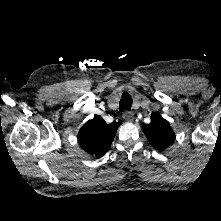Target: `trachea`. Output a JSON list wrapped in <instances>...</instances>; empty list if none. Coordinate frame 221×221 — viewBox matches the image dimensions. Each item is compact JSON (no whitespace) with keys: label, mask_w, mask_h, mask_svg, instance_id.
<instances>
[{"label":"trachea","mask_w":221,"mask_h":221,"mask_svg":"<svg viewBox=\"0 0 221 221\" xmlns=\"http://www.w3.org/2000/svg\"><path fill=\"white\" fill-rule=\"evenodd\" d=\"M132 106V97L127 93H123L120 103H119V110L121 112L123 111H129L131 109Z\"/></svg>","instance_id":"obj_1"}]
</instances>
